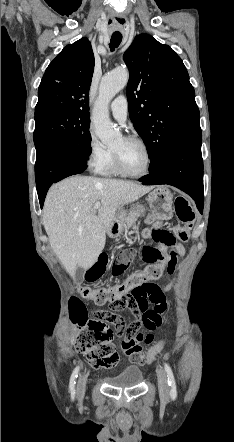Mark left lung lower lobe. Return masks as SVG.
Listing matches in <instances>:
<instances>
[{
	"mask_svg": "<svg viewBox=\"0 0 234 442\" xmlns=\"http://www.w3.org/2000/svg\"><path fill=\"white\" fill-rule=\"evenodd\" d=\"M201 128L179 135L150 174L139 179L145 185L169 184L189 194L200 212L203 210V160Z\"/></svg>",
	"mask_w": 234,
	"mask_h": 442,
	"instance_id": "1",
	"label": "left lung lower lobe"
}]
</instances>
